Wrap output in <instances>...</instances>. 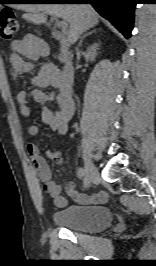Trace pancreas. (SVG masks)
<instances>
[{"instance_id":"pancreas-1","label":"pancreas","mask_w":156,"mask_h":266,"mask_svg":"<svg viewBox=\"0 0 156 266\" xmlns=\"http://www.w3.org/2000/svg\"><path fill=\"white\" fill-rule=\"evenodd\" d=\"M59 59H60L61 63H66V62L71 61L70 53H68V54H60Z\"/></svg>"}]
</instances>
